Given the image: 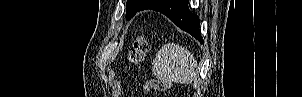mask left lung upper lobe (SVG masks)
Instances as JSON below:
<instances>
[{"label": "left lung upper lobe", "mask_w": 302, "mask_h": 97, "mask_svg": "<svg viewBox=\"0 0 302 97\" xmlns=\"http://www.w3.org/2000/svg\"><path fill=\"white\" fill-rule=\"evenodd\" d=\"M148 0H127L126 19L132 18L143 7L147 6Z\"/></svg>", "instance_id": "1"}]
</instances>
